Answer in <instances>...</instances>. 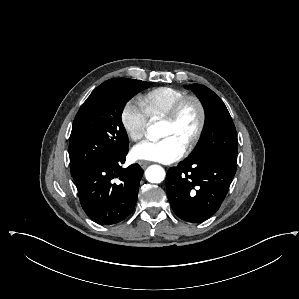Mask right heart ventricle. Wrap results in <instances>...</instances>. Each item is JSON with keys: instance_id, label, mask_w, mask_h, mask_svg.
<instances>
[{"instance_id": "right-heart-ventricle-1", "label": "right heart ventricle", "mask_w": 299, "mask_h": 299, "mask_svg": "<svg viewBox=\"0 0 299 299\" xmlns=\"http://www.w3.org/2000/svg\"><path fill=\"white\" fill-rule=\"evenodd\" d=\"M187 95L179 88L163 86L150 90L140 98V104L151 120L163 119L172 106Z\"/></svg>"}]
</instances>
